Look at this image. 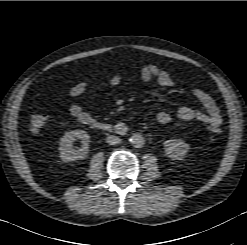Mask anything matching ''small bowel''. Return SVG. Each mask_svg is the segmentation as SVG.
Wrapping results in <instances>:
<instances>
[{
    "instance_id": "1",
    "label": "small bowel",
    "mask_w": 247,
    "mask_h": 245,
    "mask_svg": "<svg viewBox=\"0 0 247 245\" xmlns=\"http://www.w3.org/2000/svg\"><path fill=\"white\" fill-rule=\"evenodd\" d=\"M140 77L144 82L155 81L159 86L164 88H169L174 85V81L170 74L153 63L141 67ZM106 80L107 86L114 87L121 83L122 76L120 74H115L106 78ZM87 89L84 82L78 83L69 90V96L71 98L78 97L85 93ZM192 93L202 105L203 110L182 106L178 108L176 112L177 117L183 121L197 120L212 127H219L222 124V117L214 98L198 87H194ZM68 111L69 114L81 124L92 126L96 122V117L84 110V108L78 104L70 105ZM171 119V115L165 111L159 112L156 115V120L159 124H167Z\"/></svg>"
}]
</instances>
